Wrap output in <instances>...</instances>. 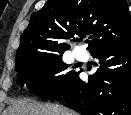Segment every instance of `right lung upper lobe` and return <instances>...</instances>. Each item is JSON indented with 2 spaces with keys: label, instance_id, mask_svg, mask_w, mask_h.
Here are the masks:
<instances>
[{
  "label": "right lung upper lobe",
  "instance_id": "cb5924a9",
  "mask_svg": "<svg viewBox=\"0 0 131 115\" xmlns=\"http://www.w3.org/2000/svg\"><path fill=\"white\" fill-rule=\"evenodd\" d=\"M91 34L88 50L131 42V17L125 0H49L33 13L17 50L15 65L31 54L70 48L74 36ZM75 40V39H74Z\"/></svg>",
  "mask_w": 131,
  "mask_h": 115
}]
</instances>
